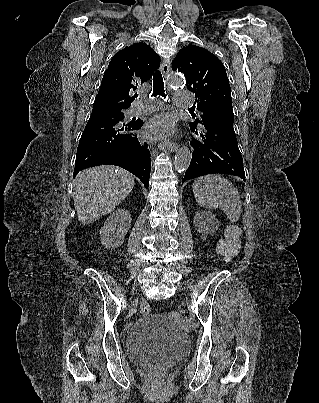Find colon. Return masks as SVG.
I'll return each instance as SVG.
<instances>
[{"instance_id": "1", "label": "colon", "mask_w": 319, "mask_h": 403, "mask_svg": "<svg viewBox=\"0 0 319 403\" xmlns=\"http://www.w3.org/2000/svg\"><path fill=\"white\" fill-rule=\"evenodd\" d=\"M240 241L239 232L236 229H230L228 236L221 240L218 244V251L225 259L233 258L239 251ZM151 307L147 303H142L140 306V312L143 315H148L151 313ZM161 377V375H158Z\"/></svg>"}]
</instances>
